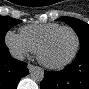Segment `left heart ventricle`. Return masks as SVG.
Returning a JSON list of instances; mask_svg holds the SVG:
<instances>
[{
  "mask_svg": "<svg viewBox=\"0 0 89 89\" xmlns=\"http://www.w3.org/2000/svg\"><path fill=\"white\" fill-rule=\"evenodd\" d=\"M75 43L74 34L69 30H62L44 47L42 57L49 63L62 62L72 54Z\"/></svg>",
  "mask_w": 89,
  "mask_h": 89,
  "instance_id": "b2bd125f",
  "label": "left heart ventricle"
}]
</instances>
